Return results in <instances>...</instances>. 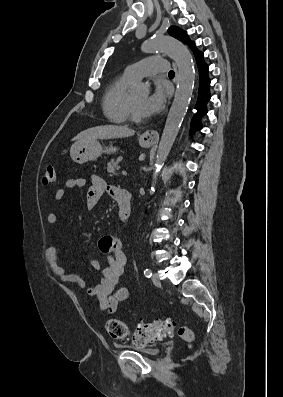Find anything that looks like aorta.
<instances>
[{
	"instance_id": "1",
	"label": "aorta",
	"mask_w": 283,
	"mask_h": 397,
	"mask_svg": "<svg viewBox=\"0 0 283 397\" xmlns=\"http://www.w3.org/2000/svg\"><path fill=\"white\" fill-rule=\"evenodd\" d=\"M144 52L162 50L167 52L176 62L178 67V85L173 104L170 108L165 127L159 142L155 160L156 171L153 174L152 186L155 185L158 171L166 160L180 125L188 109L195 83V70L192 55L189 49L180 41L170 37H154L142 46ZM138 93H147L149 86L144 83L135 85ZM153 189V187H152Z\"/></svg>"
}]
</instances>
